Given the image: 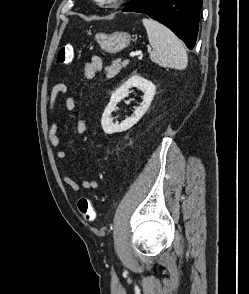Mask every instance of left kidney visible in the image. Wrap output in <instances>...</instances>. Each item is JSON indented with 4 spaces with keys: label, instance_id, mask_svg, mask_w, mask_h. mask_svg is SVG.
<instances>
[{
    "label": "left kidney",
    "instance_id": "left-kidney-1",
    "mask_svg": "<svg viewBox=\"0 0 249 294\" xmlns=\"http://www.w3.org/2000/svg\"><path fill=\"white\" fill-rule=\"evenodd\" d=\"M132 87H136L144 93V95L142 96V103L139 107L135 109L131 117H127L120 124L113 123L111 117L112 112L115 110L117 103L128 96L129 89H131ZM155 92L156 87L151 81H148L147 79L137 74L131 76L111 95L110 102L105 108L101 119V125L104 132L106 134H113L126 131L134 126L148 110L151 101L153 100V97L155 95Z\"/></svg>",
    "mask_w": 249,
    "mask_h": 294
}]
</instances>
